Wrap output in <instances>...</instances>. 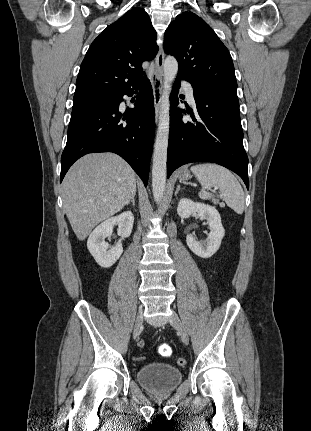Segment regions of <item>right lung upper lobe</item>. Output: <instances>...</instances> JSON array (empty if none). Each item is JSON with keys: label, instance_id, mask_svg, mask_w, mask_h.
<instances>
[{"label": "right lung upper lobe", "instance_id": "right-lung-upper-lobe-1", "mask_svg": "<svg viewBox=\"0 0 311 431\" xmlns=\"http://www.w3.org/2000/svg\"><path fill=\"white\" fill-rule=\"evenodd\" d=\"M158 51L156 31L144 9L133 8L90 45L80 66L74 97L115 94L139 84L142 63Z\"/></svg>", "mask_w": 311, "mask_h": 431}]
</instances>
